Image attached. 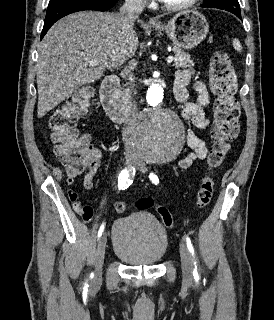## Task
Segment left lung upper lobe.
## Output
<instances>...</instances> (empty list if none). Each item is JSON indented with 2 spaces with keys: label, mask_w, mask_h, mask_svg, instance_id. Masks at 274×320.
Wrapping results in <instances>:
<instances>
[{
  "label": "left lung upper lobe",
  "mask_w": 274,
  "mask_h": 320,
  "mask_svg": "<svg viewBox=\"0 0 274 320\" xmlns=\"http://www.w3.org/2000/svg\"><path fill=\"white\" fill-rule=\"evenodd\" d=\"M201 7L225 9L231 13L240 12L238 0H206Z\"/></svg>",
  "instance_id": "left-lung-upper-lobe-1"
}]
</instances>
